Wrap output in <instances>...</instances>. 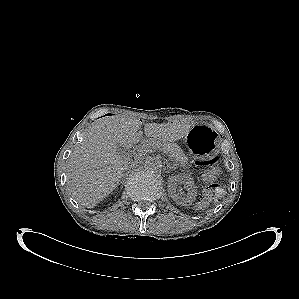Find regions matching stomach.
<instances>
[{
    "label": "stomach",
    "mask_w": 299,
    "mask_h": 299,
    "mask_svg": "<svg viewBox=\"0 0 299 299\" xmlns=\"http://www.w3.org/2000/svg\"><path fill=\"white\" fill-rule=\"evenodd\" d=\"M184 146L191 156L200 161H211L220 152L217 133L208 124H195L184 135Z\"/></svg>",
    "instance_id": "0dacf381"
}]
</instances>
